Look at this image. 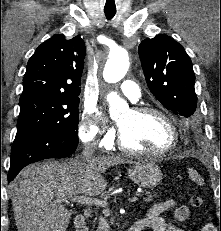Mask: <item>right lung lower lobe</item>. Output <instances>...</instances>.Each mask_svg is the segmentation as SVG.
Here are the masks:
<instances>
[{"label":"right lung lower lobe","instance_id":"right-lung-lower-lobe-1","mask_svg":"<svg viewBox=\"0 0 221 231\" xmlns=\"http://www.w3.org/2000/svg\"><path fill=\"white\" fill-rule=\"evenodd\" d=\"M77 135L59 131H35L12 145L8 181L30 163L70 156L77 148Z\"/></svg>","mask_w":221,"mask_h":231}]
</instances>
